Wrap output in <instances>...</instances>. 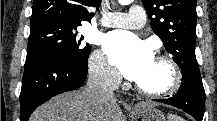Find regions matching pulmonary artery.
Listing matches in <instances>:
<instances>
[{
  "instance_id": "pulmonary-artery-1",
  "label": "pulmonary artery",
  "mask_w": 217,
  "mask_h": 121,
  "mask_svg": "<svg viewBox=\"0 0 217 121\" xmlns=\"http://www.w3.org/2000/svg\"><path fill=\"white\" fill-rule=\"evenodd\" d=\"M145 22V11L139 5L132 6L127 13L107 12L100 20V24L106 27L130 29L141 28Z\"/></svg>"
}]
</instances>
